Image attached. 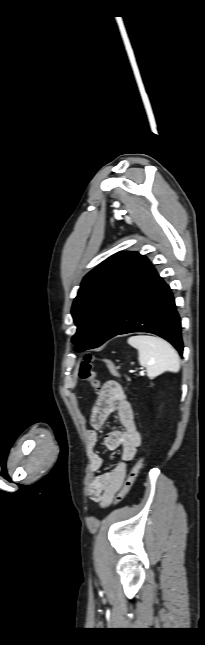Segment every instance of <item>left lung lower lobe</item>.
Returning a JSON list of instances; mask_svg holds the SVG:
<instances>
[{"mask_svg": "<svg viewBox=\"0 0 205 645\" xmlns=\"http://www.w3.org/2000/svg\"><path fill=\"white\" fill-rule=\"evenodd\" d=\"M132 332L158 335L183 354L181 319L173 294L144 255L139 256L120 291L104 342Z\"/></svg>", "mask_w": 205, "mask_h": 645, "instance_id": "1", "label": "left lung lower lobe"}]
</instances>
